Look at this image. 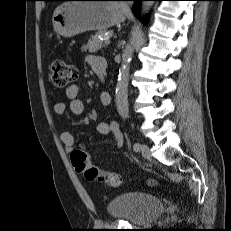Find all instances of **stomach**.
I'll use <instances>...</instances> for the list:
<instances>
[{
    "label": "stomach",
    "mask_w": 231,
    "mask_h": 231,
    "mask_svg": "<svg viewBox=\"0 0 231 231\" xmlns=\"http://www.w3.org/2000/svg\"><path fill=\"white\" fill-rule=\"evenodd\" d=\"M126 18L122 3L104 0H75L58 6L52 17L54 30L63 37L86 31H105Z\"/></svg>",
    "instance_id": "obj_1"
}]
</instances>
